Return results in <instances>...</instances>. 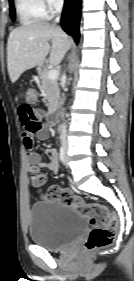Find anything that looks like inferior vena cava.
<instances>
[{
  "instance_id": "602c4592",
  "label": "inferior vena cava",
  "mask_w": 134,
  "mask_h": 281,
  "mask_svg": "<svg viewBox=\"0 0 134 281\" xmlns=\"http://www.w3.org/2000/svg\"><path fill=\"white\" fill-rule=\"evenodd\" d=\"M62 7H63V0H56L55 8L59 14L62 11ZM59 21H60V15L55 19V22H59ZM63 78H65V75H63ZM66 133H67L66 124L63 123L60 127V139L64 146L67 145V140H66L67 134Z\"/></svg>"
}]
</instances>
